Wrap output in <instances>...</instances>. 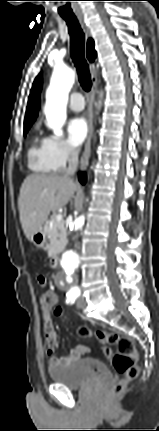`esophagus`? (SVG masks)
I'll return each instance as SVG.
<instances>
[{"mask_svg": "<svg viewBox=\"0 0 159 431\" xmlns=\"http://www.w3.org/2000/svg\"><path fill=\"white\" fill-rule=\"evenodd\" d=\"M78 20L85 33L86 38H88L90 35V31L87 24L84 21V18L80 16L78 17ZM90 72H91L92 88L90 92L89 105H88V135L85 143V148L80 160V166H79L80 170H84L88 164L90 152H91V140L93 135V120H94L93 107H94L95 96L97 92V69L94 64H90Z\"/></svg>", "mask_w": 159, "mask_h": 431, "instance_id": "esophagus-1", "label": "esophagus"}]
</instances>
